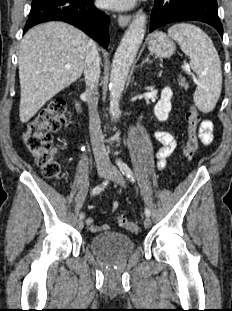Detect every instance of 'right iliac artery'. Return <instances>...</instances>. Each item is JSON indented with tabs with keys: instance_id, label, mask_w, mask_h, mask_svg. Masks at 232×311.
<instances>
[{
	"instance_id": "right-iliac-artery-1",
	"label": "right iliac artery",
	"mask_w": 232,
	"mask_h": 311,
	"mask_svg": "<svg viewBox=\"0 0 232 311\" xmlns=\"http://www.w3.org/2000/svg\"><path fill=\"white\" fill-rule=\"evenodd\" d=\"M109 179H110V178H107L103 183L97 185V186L93 189L92 194H93V195H97V194L101 193V192L105 189V187L108 185ZM84 217H85V214H84V213H81V214H80V219H83Z\"/></svg>"
}]
</instances>
